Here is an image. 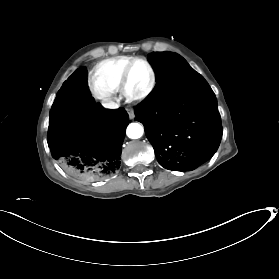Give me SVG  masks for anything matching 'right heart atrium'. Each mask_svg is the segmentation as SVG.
Wrapping results in <instances>:
<instances>
[{
  "instance_id": "obj_1",
  "label": "right heart atrium",
  "mask_w": 279,
  "mask_h": 279,
  "mask_svg": "<svg viewBox=\"0 0 279 279\" xmlns=\"http://www.w3.org/2000/svg\"><path fill=\"white\" fill-rule=\"evenodd\" d=\"M92 91H93L94 96L101 100L105 99L109 96L108 92H106L105 90H103L99 87H96V86H92Z\"/></svg>"
}]
</instances>
